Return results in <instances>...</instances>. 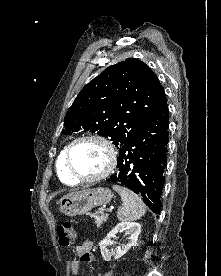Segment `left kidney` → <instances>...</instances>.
I'll use <instances>...</instances> for the list:
<instances>
[{
  "mask_svg": "<svg viewBox=\"0 0 221 276\" xmlns=\"http://www.w3.org/2000/svg\"><path fill=\"white\" fill-rule=\"evenodd\" d=\"M125 232L128 235L129 242L122 247L118 246L116 250L109 252L107 246L112 244L111 238L115 237L118 232ZM141 232V225L136 222H122L112 229L100 243V250L105 261H110L112 258L118 259L122 257L132 246L137 245L138 236Z\"/></svg>",
  "mask_w": 221,
  "mask_h": 276,
  "instance_id": "obj_1",
  "label": "left kidney"
}]
</instances>
